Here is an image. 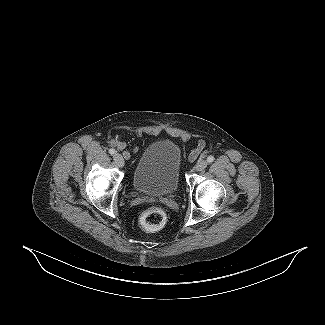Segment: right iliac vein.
Wrapping results in <instances>:
<instances>
[{
    "label": "right iliac vein",
    "instance_id": "right-iliac-vein-1",
    "mask_svg": "<svg viewBox=\"0 0 325 325\" xmlns=\"http://www.w3.org/2000/svg\"><path fill=\"white\" fill-rule=\"evenodd\" d=\"M113 159L115 161V163L119 166V167H123L124 166V159L122 157L121 154L119 153H115L113 156Z\"/></svg>",
    "mask_w": 325,
    "mask_h": 325
}]
</instances>
